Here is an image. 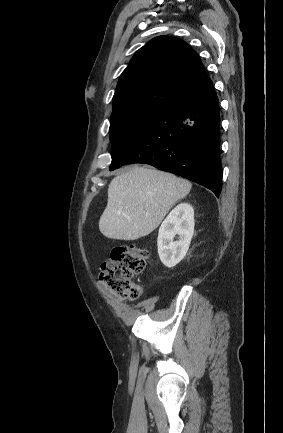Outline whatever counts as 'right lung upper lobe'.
I'll use <instances>...</instances> for the list:
<instances>
[{
    "mask_svg": "<svg viewBox=\"0 0 283 433\" xmlns=\"http://www.w3.org/2000/svg\"><path fill=\"white\" fill-rule=\"evenodd\" d=\"M210 85L198 54L187 43L156 37L135 53L121 74L113 110L125 106L164 110Z\"/></svg>",
    "mask_w": 283,
    "mask_h": 433,
    "instance_id": "1",
    "label": "right lung upper lobe"
}]
</instances>
